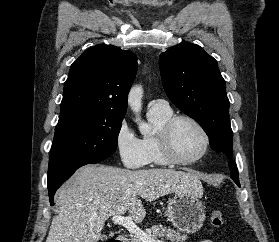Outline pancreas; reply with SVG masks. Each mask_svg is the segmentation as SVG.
<instances>
[{
    "instance_id": "pancreas-1",
    "label": "pancreas",
    "mask_w": 279,
    "mask_h": 242,
    "mask_svg": "<svg viewBox=\"0 0 279 242\" xmlns=\"http://www.w3.org/2000/svg\"><path fill=\"white\" fill-rule=\"evenodd\" d=\"M145 232L152 239L160 238L171 242H184L188 238L187 235H182L179 231L167 228L161 224L153 225L151 228L146 229ZM131 242H141V240L138 237H134L131 239Z\"/></svg>"
}]
</instances>
